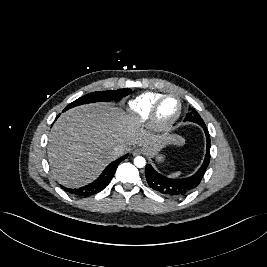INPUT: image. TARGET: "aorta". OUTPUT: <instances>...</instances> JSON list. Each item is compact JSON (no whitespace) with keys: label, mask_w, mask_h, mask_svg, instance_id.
<instances>
[{"label":"aorta","mask_w":267,"mask_h":267,"mask_svg":"<svg viewBox=\"0 0 267 267\" xmlns=\"http://www.w3.org/2000/svg\"><path fill=\"white\" fill-rule=\"evenodd\" d=\"M134 165L138 168H143L146 165V160L142 156H137L134 158Z\"/></svg>","instance_id":"aorta-1"}]
</instances>
